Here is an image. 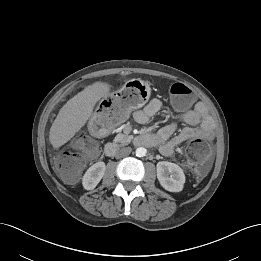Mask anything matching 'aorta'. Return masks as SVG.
Masks as SVG:
<instances>
[{"mask_svg":"<svg viewBox=\"0 0 261 261\" xmlns=\"http://www.w3.org/2000/svg\"><path fill=\"white\" fill-rule=\"evenodd\" d=\"M147 150L144 147H139L136 149L135 153L138 157H143L146 155Z\"/></svg>","mask_w":261,"mask_h":261,"instance_id":"aorta-1","label":"aorta"}]
</instances>
